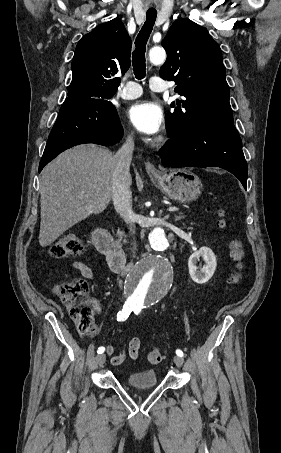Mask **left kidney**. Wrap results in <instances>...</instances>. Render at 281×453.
I'll return each instance as SVG.
<instances>
[{
  "label": "left kidney",
  "mask_w": 281,
  "mask_h": 453,
  "mask_svg": "<svg viewBox=\"0 0 281 453\" xmlns=\"http://www.w3.org/2000/svg\"><path fill=\"white\" fill-rule=\"evenodd\" d=\"M200 257H202L205 263V265H203V269H199V267H197V261ZM216 265V257L213 251L208 249V247H201L199 251H195V253H192L191 257H189V275L191 279H193L194 283L203 285V283H207V281L213 277Z\"/></svg>",
  "instance_id": "left-kidney-1"
}]
</instances>
